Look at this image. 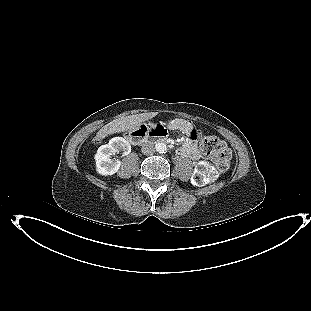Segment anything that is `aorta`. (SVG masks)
Segmentation results:
<instances>
[{"label": "aorta", "instance_id": "aorta-1", "mask_svg": "<svg viewBox=\"0 0 311 311\" xmlns=\"http://www.w3.org/2000/svg\"><path fill=\"white\" fill-rule=\"evenodd\" d=\"M156 151L159 153H164L166 151V144L165 143H157L156 144Z\"/></svg>", "mask_w": 311, "mask_h": 311}]
</instances>
